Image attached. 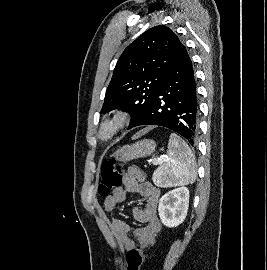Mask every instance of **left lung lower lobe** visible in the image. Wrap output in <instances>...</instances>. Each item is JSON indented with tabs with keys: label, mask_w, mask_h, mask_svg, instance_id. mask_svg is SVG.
Wrapping results in <instances>:
<instances>
[{
	"label": "left lung lower lobe",
	"mask_w": 267,
	"mask_h": 270,
	"mask_svg": "<svg viewBox=\"0 0 267 270\" xmlns=\"http://www.w3.org/2000/svg\"><path fill=\"white\" fill-rule=\"evenodd\" d=\"M158 125L183 136L192 146L198 132V99L192 62L183 44L153 101L135 124Z\"/></svg>",
	"instance_id": "obj_1"
}]
</instances>
